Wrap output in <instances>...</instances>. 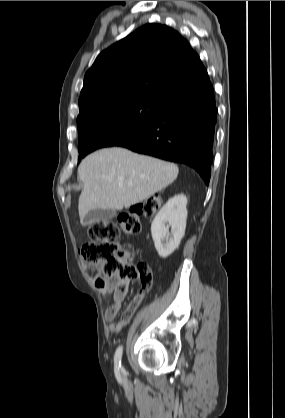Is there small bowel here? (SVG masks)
<instances>
[{
  "label": "small bowel",
  "mask_w": 285,
  "mask_h": 418,
  "mask_svg": "<svg viewBox=\"0 0 285 418\" xmlns=\"http://www.w3.org/2000/svg\"><path fill=\"white\" fill-rule=\"evenodd\" d=\"M84 269L90 270L93 273L100 272V265H83ZM139 281L141 286H146L148 289L152 286L153 283V277L150 265L146 262H140L139 263ZM89 282L94 285V276H89ZM130 279L126 278H119L116 280H113L111 284L106 288L103 289V294L110 299L111 304L109 309L105 312V319L107 322H110L109 330L111 332H119L121 331L130 321L133 314L137 310L139 304L136 303L134 299L130 302L126 310L122 313L121 320L117 323H113V320L117 317V315L122 310V304L124 297L127 293L128 286H129Z\"/></svg>",
  "instance_id": "obj_1"
}]
</instances>
